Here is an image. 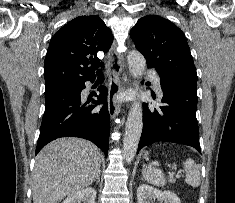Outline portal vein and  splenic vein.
<instances>
[{"label": "portal vein and splenic vein", "mask_w": 235, "mask_h": 203, "mask_svg": "<svg viewBox=\"0 0 235 203\" xmlns=\"http://www.w3.org/2000/svg\"><path fill=\"white\" fill-rule=\"evenodd\" d=\"M169 176H170V177H173V176H174V172H173V171L169 172ZM178 176H179V175H178Z\"/></svg>", "instance_id": "1"}]
</instances>
